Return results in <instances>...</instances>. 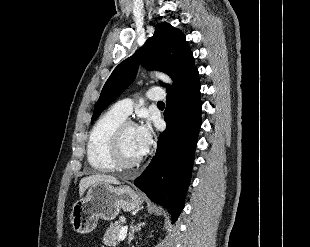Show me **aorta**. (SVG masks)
<instances>
[{"label": "aorta", "instance_id": "aorta-1", "mask_svg": "<svg viewBox=\"0 0 310 247\" xmlns=\"http://www.w3.org/2000/svg\"><path fill=\"white\" fill-rule=\"evenodd\" d=\"M154 76L156 78L162 80L165 83L172 84L171 78L168 75L164 74V73L154 72Z\"/></svg>", "mask_w": 310, "mask_h": 247}]
</instances>
